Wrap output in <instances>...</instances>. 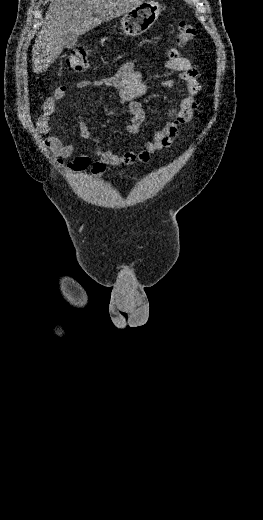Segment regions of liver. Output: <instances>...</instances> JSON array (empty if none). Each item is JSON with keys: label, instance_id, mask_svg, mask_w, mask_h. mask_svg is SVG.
Listing matches in <instances>:
<instances>
[{"label": "liver", "instance_id": "1", "mask_svg": "<svg viewBox=\"0 0 263 520\" xmlns=\"http://www.w3.org/2000/svg\"><path fill=\"white\" fill-rule=\"evenodd\" d=\"M144 0H51L45 27L39 32L32 49L33 71H45L62 53L65 38L76 39L104 21L117 18ZM93 13L96 15L94 17Z\"/></svg>", "mask_w": 263, "mask_h": 520}]
</instances>
